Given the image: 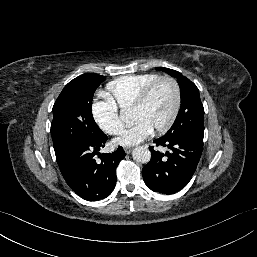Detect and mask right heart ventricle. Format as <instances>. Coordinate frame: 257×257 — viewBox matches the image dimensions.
Listing matches in <instances>:
<instances>
[{"instance_id":"e07e8e85","label":"right heart ventricle","mask_w":257,"mask_h":257,"mask_svg":"<svg viewBox=\"0 0 257 257\" xmlns=\"http://www.w3.org/2000/svg\"><path fill=\"white\" fill-rule=\"evenodd\" d=\"M159 75L147 73L119 77L106 86V97L121 110L130 109L141 92Z\"/></svg>"}]
</instances>
